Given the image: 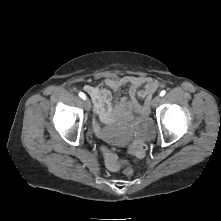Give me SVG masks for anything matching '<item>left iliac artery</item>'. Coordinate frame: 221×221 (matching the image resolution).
<instances>
[{
	"label": "left iliac artery",
	"instance_id": "left-iliac-artery-1",
	"mask_svg": "<svg viewBox=\"0 0 221 221\" xmlns=\"http://www.w3.org/2000/svg\"><path fill=\"white\" fill-rule=\"evenodd\" d=\"M166 94V91L165 90H162L161 92H160V96H164Z\"/></svg>",
	"mask_w": 221,
	"mask_h": 221
}]
</instances>
